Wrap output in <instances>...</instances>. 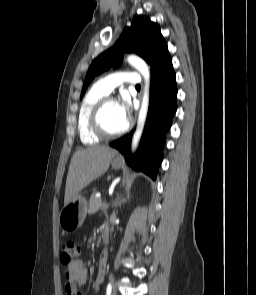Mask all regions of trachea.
Instances as JSON below:
<instances>
[{
	"label": "trachea",
	"mask_w": 256,
	"mask_h": 295,
	"mask_svg": "<svg viewBox=\"0 0 256 295\" xmlns=\"http://www.w3.org/2000/svg\"><path fill=\"white\" fill-rule=\"evenodd\" d=\"M136 88H140V85H136Z\"/></svg>",
	"instance_id": "trachea-1"
}]
</instances>
